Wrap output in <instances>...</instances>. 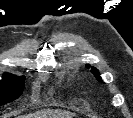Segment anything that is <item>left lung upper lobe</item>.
Masks as SVG:
<instances>
[{"label": "left lung upper lobe", "instance_id": "5c2ea615", "mask_svg": "<svg viewBox=\"0 0 133 118\" xmlns=\"http://www.w3.org/2000/svg\"><path fill=\"white\" fill-rule=\"evenodd\" d=\"M87 68H90L91 66L90 65H86ZM92 73L94 74V76L100 81L102 82L100 76H99V73H98V70L96 68H93L92 67Z\"/></svg>", "mask_w": 133, "mask_h": 118}]
</instances>
